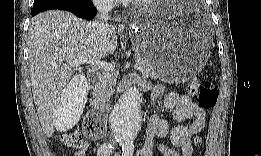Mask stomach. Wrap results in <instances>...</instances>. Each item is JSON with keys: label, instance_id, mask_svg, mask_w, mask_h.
Listing matches in <instances>:
<instances>
[{"label": "stomach", "instance_id": "stomach-1", "mask_svg": "<svg viewBox=\"0 0 261 156\" xmlns=\"http://www.w3.org/2000/svg\"><path fill=\"white\" fill-rule=\"evenodd\" d=\"M128 25L134 47L164 81L192 79L209 58L211 33L191 21L184 2H152L134 11Z\"/></svg>", "mask_w": 261, "mask_h": 156}]
</instances>
